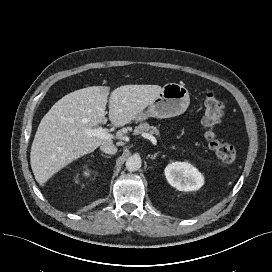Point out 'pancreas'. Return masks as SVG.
I'll use <instances>...</instances> for the list:
<instances>
[{"mask_svg": "<svg viewBox=\"0 0 272 272\" xmlns=\"http://www.w3.org/2000/svg\"><path fill=\"white\" fill-rule=\"evenodd\" d=\"M143 133H149L151 135H156L157 137H160V132L156 126H152L148 124L147 122L141 123L134 129V134L139 135Z\"/></svg>", "mask_w": 272, "mask_h": 272, "instance_id": "1", "label": "pancreas"}]
</instances>
